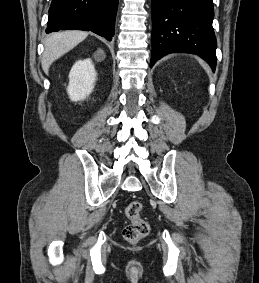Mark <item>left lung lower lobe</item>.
<instances>
[{
  "label": "left lung lower lobe",
  "mask_w": 259,
  "mask_h": 283,
  "mask_svg": "<svg viewBox=\"0 0 259 283\" xmlns=\"http://www.w3.org/2000/svg\"><path fill=\"white\" fill-rule=\"evenodd\" d=\"M212 0H152L151 67L162 56L187 52L216 67Z\"/></svg>",
  "instance_id": "left-lung-lower-lobe-1"
}]
</instances>
